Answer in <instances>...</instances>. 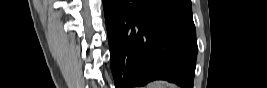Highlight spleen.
Masks as SVG:
<instances>
[{"label":"spleen","instance_id":"3e777b00","mask_svg":"<svg viewBox=\"0 0 267 88\" xmlns=\"http://www.w3.org/2000/svg\"><path fill=\"white\" fill-rule=\"evenodd\" d=\"M146 88H168V84L165 81H153Z\"/></svg>","mask_w":267,"mask_h":88}]
</instances>
